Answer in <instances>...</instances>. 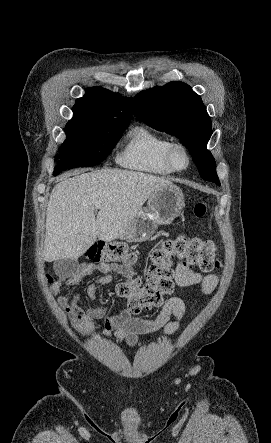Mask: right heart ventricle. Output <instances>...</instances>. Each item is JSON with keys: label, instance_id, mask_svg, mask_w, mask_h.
Segmentation results:
<instances>
[{"label": "right heart ventricle", "instance_id": "obj_1", "mask_svg": "<svg viewBox=\"0 0 271 443\" xmlns=\"http://www.w3.org/2000/svg\"><path fill=\"white\" fill-rule=\"evenodd\" d=\"M171 139L146 125L132 128L117 161L124 167L157 175H170L175 171L166 159Z\"/></svg>", "mask_w": 271, "mask_h": 443}]
</instances>
